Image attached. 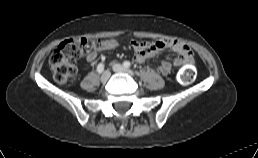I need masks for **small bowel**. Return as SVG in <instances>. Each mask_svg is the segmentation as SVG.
I'll return each instance as SVG.
<instances>
[{
    "label": "small bowel",
    "mask_w": 258,
    "mask_h": 158,
    "mask_svg": "<svg viewBox=\"0 0 258 158\" xmlns=\"http://www.w3.org/2000/svg\"><path fill=\"white\" fill-rule=\"evenodd\" d=\"M118 46L115 39H106L100 42V45L91 49L86 56L88 62H94L98 51L113 50ZM131 46L134 50V61L143 63L149 58L161 53L166 49H171L178 55L173 61L163 60L158 67L162 75H168L174 67L189 64L192 62V50L184 42L176 39H161L155 42H142L133 40Z\"/></svg>",
    "instance_id": "c3829d8e"
}]
</instances>
